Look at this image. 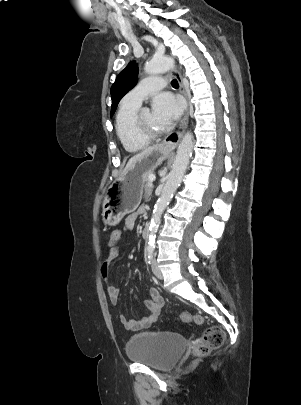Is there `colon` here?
<instances>
[{"label":"colon","mask_w":301,"mask_h":405,"mask_svg":"<svg viewBox=\"0 0 301 405\" xmlns=\"http://www.w3.org/2000/svg\"><path fill=\"white\" fill-rule=\"evenodd\" d=\"M114 230V226L112 224L106 225L105 235L111 236L116 232ZM180 319L183 323H189L191 321V316L187 312H182L180 314ZM196 322L202 323V317H196ZM225 340V333L224 331L217 326H213L208 328L204 334L195 339L192 344V356L195 358L204 357L209 354L212 350L220 348Z\"/></svg>","instance_id":"1"}]
</instances>
